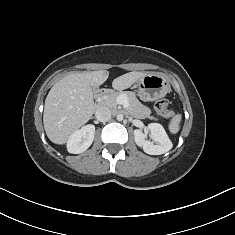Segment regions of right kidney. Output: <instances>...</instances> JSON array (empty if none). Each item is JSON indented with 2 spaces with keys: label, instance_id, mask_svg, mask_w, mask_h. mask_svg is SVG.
<instances>
[{
  "label": "right kidney",
  "instance_id": "ca27d5eb",
  "mask_svg": "<svg viewBox=\"0 0 235 235\" xmlns=\"http://www.w3.org/2000/svg\"><path fill=\"white\" fill-rule=\"evenodd\" d=\"M94 134V125H86L75 131L67 142L68 152L72 154H79L87 150L94 140Z\"/></svg>",
  "mask_w": 235,
  "mask_h": 235
}]
</instances>
